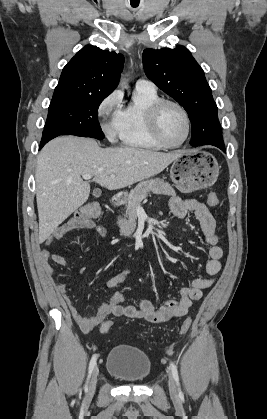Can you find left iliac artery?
Instances as JSON below:
<instances>
[{"label": "left iliac artery", "instance_id": "44dca946", "mask_svg": "<svg viewBox=\"0 0 267 419\" xmlns=\"http://www.w3.org/2000/svg\"><path fill=\"white\" fill-rule=\"evenodd\" d=\"M170 367H171V372H172L173 378L176 381L177 386H178V389H179V396L182 397L183 394H182V391H181V388H180L177 367H176V365L174 363H170Z\"/></svg>", "mask_w": 267, "mask_h": 419}]
</instances>
